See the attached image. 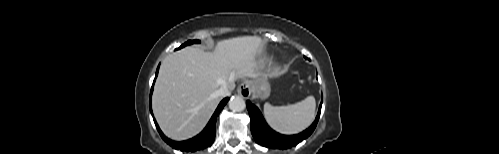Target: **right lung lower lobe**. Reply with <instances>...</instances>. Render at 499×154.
<instances>
[{
	"label": "right lung lower lobe",
	"instance_id": "1",
	"mask_svg": "<svg viewBox=\"0 0 499 154\" xmlns=\"http://www.w3.org/2000/svg\"><path fill=\"white\" fill-rule=\"evenodd\" d=\"M158 69H159V67L157 68L155 79L158 75ZM154 82H155V80H154ZM152 92H153V86H152L151 93H150V103H149L150 112L153 116L152 107H151ZM228 100H229V98H224L220 102V104L218 105L217 109L215 110L213 116L211 117L209 123L207 124L205 129L199 135H197L196 137H194L192 139L186 140V141L175 142V141L170 140L162 133L156 120L154 119V116H153V119H154V122H155V125H156V128H157L159 134L161 135L162 139L165 142H167V144H169L173 148L179 149L181 151L194 152V151H197L200 149H205L206 147L212 145L214 138H215V125H216L217 116L219 115L220 111L224 108V106L228 102Z\"/></svg>",
	"mask_w": 499,
	"mask_h": 154
}]
</instances>
